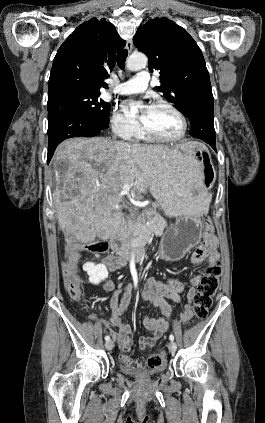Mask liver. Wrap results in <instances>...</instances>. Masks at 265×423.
<instances>
[{"label":"liver","instance_id":"obj_1","mask_svg":"<svg viewBox=\"0 0 265 423\" xmlns=\"http://www.w3.org/2000/svg\"><path fill=\"white\" fill-rule=\"evenodd\" d=\"M53 166L59 174L53 202L68 243L108 239L121 229L124 214L115 206L125 184H132L131 193L149 190L167 216L199 213L189 188L200 181V171L168 146L72 138L57 147Z\"/></svg>","mask_w":265,"mask_h":423}]
</instances>
